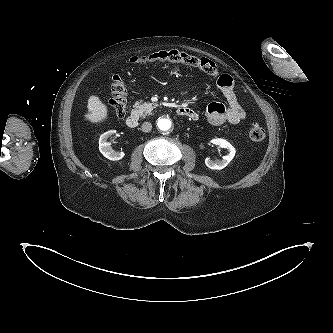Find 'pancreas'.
<instances>
[{"label":"pancreas","mask_w":333,"mask_h":333,"mask_svg":"<svg viewBox=\"0 0 333 333\" xmlns=\"http://www.w3.org/2000/svg\"><path fill=\"white\" fill-rule=\"evenodd\" d=\"M134 107L138 114L144 118L147 114H150L154 108L157 107V104L136 101Z\"/></svg>","instance_id":"1"}]
</instances>
